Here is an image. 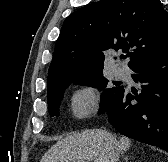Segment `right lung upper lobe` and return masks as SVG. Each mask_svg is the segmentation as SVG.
<instances>
[{"label":"right lung upper lobe","mask_w":168,"mask_h":162,"mask_svg":"<svg viewBox=\"0 0 168 162\" xmlns=\"http://www.w3.org/2000/svg\"><path fill=\"white\" fill-rule=\"evenodd\" d=\"M109 49H131L130 69L168 51V12L160 0H101L70 14L55 45L48 86L103 71Z\"/></svg>","instance_id":"cb5924a9"}]
</instances>
